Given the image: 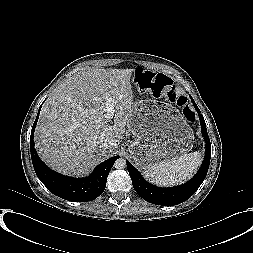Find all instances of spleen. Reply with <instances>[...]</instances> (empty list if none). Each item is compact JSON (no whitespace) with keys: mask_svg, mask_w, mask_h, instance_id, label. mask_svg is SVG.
Segmentation results:
<instances>
[{"mask_svg":"<svg viewBox=\"0 0 253 253\" xmlns=\"http://www.w3.org/2000/svg\"><path fill=\"white\" fill-rule=\"evenodd\" d=\"M201 161L200 152H191L177 159L150 166L145 169L144 173L153 183L170 186L190 178L200 166Z\"/></svg>","mask_w":253,"mask_h":253,"instance_id":"1","label":"spleen"}]
</instances>
